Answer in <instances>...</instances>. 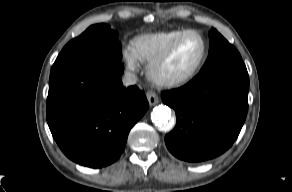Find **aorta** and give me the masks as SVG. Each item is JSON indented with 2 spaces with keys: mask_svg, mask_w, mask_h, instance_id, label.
Returning <instances> with one entry per match:
<instances>
[{
  "mask_svg": "<svg viewBox=\"0 0 292 192\" xmlns=\"http://www.w3.org/2000/svg\"><path fill=\"white\" fill-rule=\"evenodd\" d=\"M152 122L162 131H169L173 127L171 109L165 105L156 106L151 112Z\"/></svg>",
  "mask_w": 292,
  "mask_h": 192,
  "instance_id": "aorta-1",
  "label": "aorta"
}]
</instances>
